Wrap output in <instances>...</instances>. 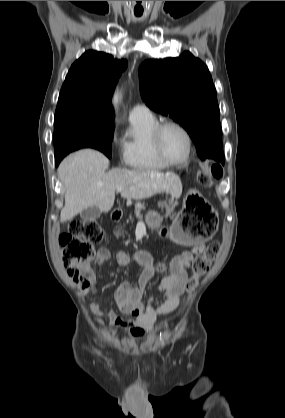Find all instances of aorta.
<instances>
[{
	"label": "aorta",
	"instance_id": "obj_1",
	"mask_svg": "<svg viewBox=\"0 0 285 418\" xmlns=\"http://www.w3.org/2000/svg\"><path fill=\"white\" fill-rule=\"evenodd\" d=\"M121 99V92H116L114 95V103H118V101Z\"/></svg>",
	"mask_w": 285,
	"mask_h": 418
}]
</instances>
